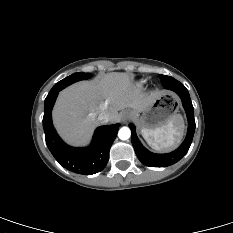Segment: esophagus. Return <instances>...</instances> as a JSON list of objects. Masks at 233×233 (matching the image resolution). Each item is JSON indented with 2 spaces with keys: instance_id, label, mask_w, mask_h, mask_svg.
<instances>
[{
  "instance_id": "34e87169",
  "label": "esophagus",
  "mask_w": 233,
  "mask_h": 233,
  "mask_svg": "<svg viewBox=\"0 0 233 233\" xmlns=\"http://www.w3.org/2000/svg\"><path fill=\"white\" fill-rule=\"evenodd\" d=\"M130 118V113L125 111L121 114V119L123 122H126Z\"/></svg>"
}]
</instances>
